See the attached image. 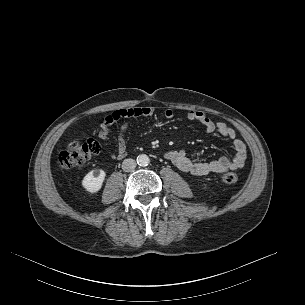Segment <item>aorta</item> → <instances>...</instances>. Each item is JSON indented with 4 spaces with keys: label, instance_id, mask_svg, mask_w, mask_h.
Returning a JSON list of instances; mask_svg holds the SVG:
<instances>
[{
    "label": "aorta",
    "instance_id": "obj_1",
    "mask_svg": "<svg viewBox=\"0 0 305 305\" xmlns=\"http://www.w3.org/2000/svg\"><path fill=\"white\" fill-rule=\"evenodd\" d=\"M150 162L149 157L146 154H140L137 156V164L140 166H147Z\"/></svg>",
    "mask_w": 305,
    "mask_h": 305
}]
</instances>
